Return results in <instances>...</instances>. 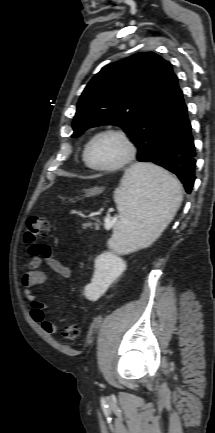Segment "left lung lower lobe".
I'll return each mask as SVG.
<instances>
[{"mask_svg":"<svg viewBox=\"0 0 215 433\" xmlns=\"http://www.w3.org/2000/svg\"><path fill=\"white\" fill-rule=\"evenodd\" d=\"M182 91L175 101L170 120L162 132L153 163L175 174L186 192L195 181L196 152Z\"/></svg>","mask_w":215,"mask_h":433,"instance_id":"obj_1","label":"left lung lower lobe"}]
</instances>
